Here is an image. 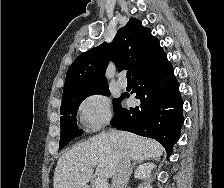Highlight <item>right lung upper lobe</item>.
<instances>
[{
  "instance_id": "1",
  "label": "right lung upper lobe",
  "mask_w": 224,
  "mask_h": 188,
  "mask_svg": "<svg viewBox=\"0 0 224 188\" xmlns=\"http://www.w3.org/2000/svg\"><path fill=\"white\" fill-rule=\"evenodd\" d=\"M164 54L150 29L143 27L138 19L130 18L111 44L104 42L75 59L67 71L63 94L108 85L105 71L110 59L119 71L130 69L134 77L156 64Z\"/></svg>"
}]
</instances>
